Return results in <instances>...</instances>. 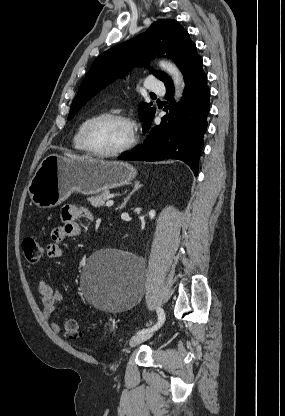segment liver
I'll list each match as a JSON object with an SVG mask.
<instances>
[{"label": "liver", "mask_w": 285, "mask_h": 416, "mask_svg": "<svg viewBox=\"0 0 285 416\" xmlns=\"http://www.w3.org/2000/svg\"><path fill=\"white\" fill-rule=\"evenodd\" d=\"M67 158H73V160H92L90 156H74V154H64Z\"/></svg>", "instance_id": "6515ba94"}]
</instances>
